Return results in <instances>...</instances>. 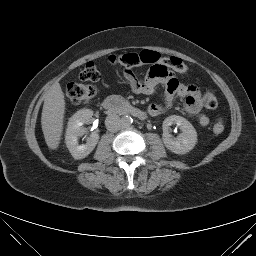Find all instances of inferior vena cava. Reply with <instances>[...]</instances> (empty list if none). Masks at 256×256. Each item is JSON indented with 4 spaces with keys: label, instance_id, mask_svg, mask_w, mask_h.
Segmentation results:
<instances>
[{
    "label": "inferior vena cava",
    "instance_id": "inferior-vena-cava-1",
    "mask_svg": "<svg viewBox=\"0 0 256 256\" xmlns=\"http://www.w3.org/2000/svg\"><path fill=\"white\" fill-rule=\"evenodd\" d=\"M105 125L110 132H117L121 127V119L116 114H111L106 117Z\"/></svg>",
    "mask_w": 256,
    "mask_h": 256
}]
</instances>
